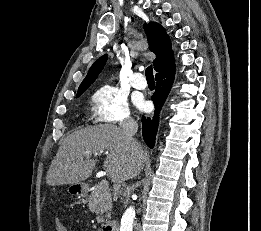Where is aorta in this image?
Wrapping results in <instances>:
<instances>
[{"label":"aorta","instance_id":"1","mask_svg":"<svg viewBox=\"0 0 261 231\" xmlns=\"http://www.w3.org/2000/svg\"><path fill=\"white\" fill-rule=\"evenodd\" d=\"M134 218L135 209L133 206H130L122 216L120 231H132Z\"/></svg>","mask_w":261,"mask_h":231}]
</instances>
